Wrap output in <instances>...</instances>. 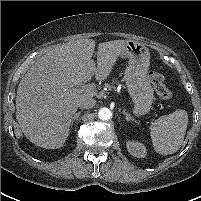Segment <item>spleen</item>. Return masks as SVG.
Listing matches in <instances>:
<instances>
[{
    "mask_svg": "<svg viewBox=\"0 0 201 201\" xmlns=\"http://www.w3.org/2000/svg\"><path fill=\"white\" fill-rule=\"evenodd\" d=\"M187 125L188 115L182 109H177L155 121L150 127V136L155 151L161 155H168L179 150Z\"/></svg>",
    "mask_w": 201,
    "mask_h": 201,
    "instance_id": "spleen-1",
    "label": "spleen"
}]
</instances>
